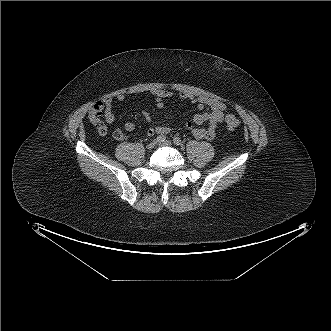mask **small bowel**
I'll return each instance as SVG.
<instances>
[{"label":"small bowel","instance_id":"small-bowel-1","mask_svg":"<svg viewBox=\"0 0 331 331\" xmlns=\"http://www.w3.org/2000/svg\"><path fill=\"white\" fill-rule=\"evenodd\" d=\"M150 94L154 97L155 106L159 109L165 107L168 100L174 98H180L188 100L195 104L197 109L203 110L201 113L195 114L192 121L186 123V128L190 130L196 139H207L211 140L214 138L217 126L223 119V112L225 110V104L215 98L208 96H197L189 92L174 93L165 89H153ZM125 99L124 94H118L116 96H105L101 101L97 102L89 112V119L94 125L101 123L100 116L104 115L106 123H113L115 120V114L113 111L114 101L121 102ZM142 116L148 123L147 134L150 136L154 135H166L171 132L169 126L158 125L154 126L151 124L150 114L142 110ZM207 123V127H195L194 125L200 126ZM124 128L127 132L135 130V124L131 121L126 122ZM114 137L116 139H122L123 134L121 131H115Z\"/></svg>","mask_w":331,"mask_h":331}]
</instances>
